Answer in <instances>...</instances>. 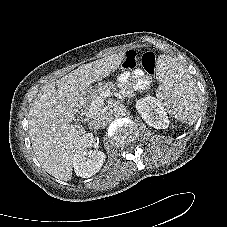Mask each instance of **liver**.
<instances>
[{
	"mask_svg": "<svg viewBox=\"0 0 227 227\" xmlns=\"http://www.w3.org/2000/svg\"><path fill=\"white\" fill-rule=\"evenodd\" d=\"M124 57L125 52H120L83 64L45 84L33 100L29 110L32 148L42 168L56 179L71 180L74 153L86 135L82 125L72 124L80 107V92L117 70Z\"/></svg>",
	"mask_w": 227,
	"mask_h": 227,
	"instance_id": "obj_1",
	"label": "liver"
}]
</instances>
